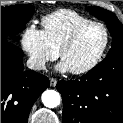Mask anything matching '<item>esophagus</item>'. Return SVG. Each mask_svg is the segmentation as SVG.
<instances>
[{"label":"esophagus","mask_w":123,"mask_h":123,"mask_svg":"<svg viewBox=\"0 0 123 123\" xmlns=\"http://www.w3.org/2000/svg\"><path fill=\"white\" fill-rule=\"evenodd\" d=\"M57 85V81L55 78H50V86L55 87Z\"/></svg>","instance_id":"obj_1"}]
</instances>
